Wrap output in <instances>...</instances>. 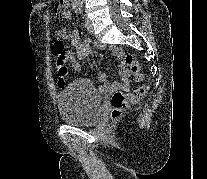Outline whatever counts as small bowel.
Segmentation results:
<instances>
[{"mask_svg":"<svg viewBox=\"0 0 207 179\" xmlns=\"http://www.w3.org/2000/svg\"><path fill=\"white\" fill-rule=\"evenodd\" d=\"M67 5H68V1H67ZM71 17H72L71 12L66 9L60 19L69 20L71 19ZM55 36H58L61 39H67L75 46L76 49L75 54L73 52L68 51L66 52V56L70 60L72 70L75 72H79L80 63L78 59H85L93 54L90 41L88 39L82 40L77 30H72L68 32L64 29H60L56 31ZM102 48L104 47L102 46ZM108 49L110 50L112 55L119 61V66H120L119 81H115L112 83H105L107 79L106 74L103 72H99L97 78L102 83L100 87L102 92H109L118 87L126 88L129 86V82H130V72L122 62L124 56L123 50L117 47H108Z\"/></svg>","mask_w":207,"mask_h":179,"instance_id":"obj_1","label":"small bowel"}]
</instances>
